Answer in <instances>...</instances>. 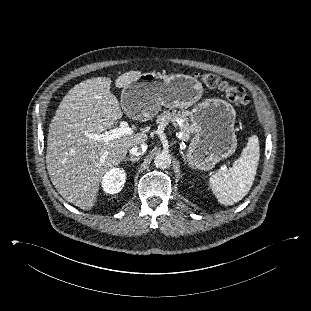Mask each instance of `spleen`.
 Returning <instances> with one entry per match:
<instances>
[{"instance_id":"obj_1","label":"spleen","mask_w":311,"mask_h":311,"mask_svg":"<svg viewBox=\"0 0 311 311\" xmlns=\"http://www.w3.org/2000/svg\"><path fill=\"white\" fill-rule=\"evenodd\" d=\"M259 157V140L253 135L241 157L229 170L218 171L209 178L210 187L221 204L233 205L248 194L256 176Z\"/></svg>"}]
</instances>
